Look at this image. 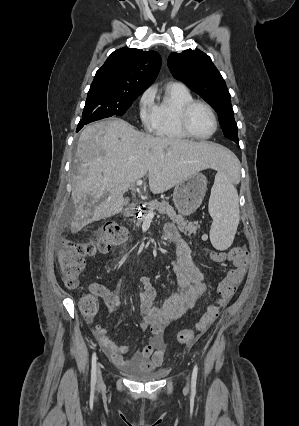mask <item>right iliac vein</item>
Masks as SVG:
<instances>
[{
  "label": "right iliac vein",
  "instance_id": "obj_1",
  "mask_svg": "<svg viewBox=\"0 0 299 426\" xmlns=\"http://www.w3.org/2000/svg\"><path fill=\"white\" fill-rule=\"evenodd\" d=\"M103 383V379H102V374H101V369H100V364L98 365V384L102 385Z\"/></svg>",
  "mask_w": 299,
  "mask_h": 426
}]
</instances>
